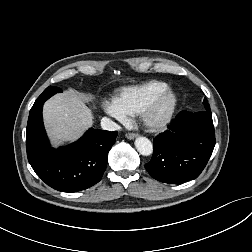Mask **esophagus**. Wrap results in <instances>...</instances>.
Returning <instances> with one entry per match:
<instances>
[{
  "mask_svg": "<svg viewBox=\"0 0 252 252\" xmlns=\"http://www.w3.org/2000/svg\"><path fill=\"white\" fill-rule=\"evenodd\" d=\"M125 136H126L127 139L132 140V139L138 137V134L137 133H126Z\"/></svg>",
  "mask_w": 252,
  "mask_h": 252,
  "instance_id": "obj_1",
  "label": "esophagus"
}]
</instances>
